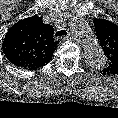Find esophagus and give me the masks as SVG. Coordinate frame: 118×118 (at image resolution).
<instances>
[{"label":"esophagus","mask_w":118,"mask_h":118,"mask_svg":"<svg viewBox=\"0 0 118 118\" xmlns=\"http://www.w3.org/2000/svg\"><path fill=\"white\" fill-rule=\"evenodd\" d=\"M63 39L64 40H69V39H74L75 40V38L72 35H68L66 37H63Z\"/></svg>","instance_id":"obj_1"}]
</instances>
